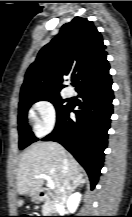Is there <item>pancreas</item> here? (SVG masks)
I'll use <instances>...</instances> for the list:
<instances>
[{"label":"pancreas","mask_w":132,"mask_h":217,"mask_svg":"<svg viewBox=\"0 0 132 217\" xmlns=\"http://www.w3.org/2000/svg\"><path fill=\"white\" fill-rule=\"evenodd\" d=\"M52 210V204L50 202H45V204L43 205V212H50Z\"/></svg>","instance_id":"pancreas-1"}]
</instances>
